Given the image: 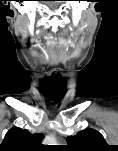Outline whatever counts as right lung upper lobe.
<instances>
[{"mask_svg": "<svg viewBox=\"0 0 118 151\" xmlns=\"http://www.w3.org/2000/svg\"><path fill=\"white\" fill-rule=\"evenodd\" d=\"M43 134H31L28 130L18 127L10 129L3 143L0 144V151H34L42 148L40 142Z\"/></svg>", "mask_w": 118, "mask_h": 151, "instance_id": "obj_1", "label": "right lung upper lobe"}]
</instances>
